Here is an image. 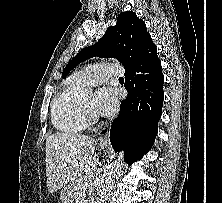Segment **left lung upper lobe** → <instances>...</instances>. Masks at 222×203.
Segmentation results:
<instances>
[{"mask_svg": "<svg viewBox=\"0 0 222 203\" xmlns=\"http://www.w3.org/2000/svg\"><path fill=\"white\" fill-rule=\"evenodd\" d=\"M149 36L145 23L134 12H122L116 25L109 27L96 44L82 49L66 65L62 78L79 63L95 56L117 58L126 69L135 62Z\"/></svg>", "mask_w": 222, "mask_h": 203, "instance_id": "5c2ea615", "label": "left lung upper lobe"}]
</instances>
